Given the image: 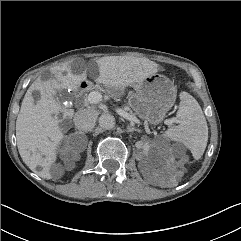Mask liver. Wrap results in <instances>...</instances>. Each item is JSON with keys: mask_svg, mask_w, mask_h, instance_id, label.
<instances>
[{"mask_svg": "<svg viewBox=\"0 0 241 241\" xmlns=\"http://www.w3.org/2000/svg\"><path fill=\"white\" fill-rule=\"evenodd\" d=\"M92 62L97 65L99 72L95 82L116 90L140 83L158 71L153 62L142 58L110 56ZM71 63L72 61L66 62L56 69L54 79L46 82L36 80L32 83L24 96L16 120L19 154L32 171L45 179L51 178L50 164L55 159L56 146L63 138L59 120L53 116L61 110L58 99L54 97L56 90H76L87 78L85 71L74 74ZM34 92L40 94L36 104ZM37 167L41 170L37 171Z\"/></svg>", "mask_w": 241, "mask_h": 241, "instance_id": "liver-1", "label": "liver"}]
</instances>
